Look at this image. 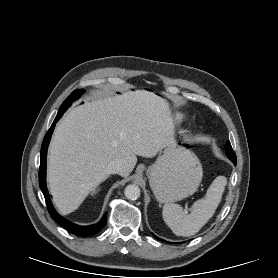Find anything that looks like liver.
<instances>
[{"mask_svg": "<svg viewBox=\"0 0 278 278\" xmlns=\"http://www.w3.org/2000/svg\"><path fill=\"white\" fill-rule=\"evenodd\" d=\"M174 123L167 101L146 90L86 102L58 123L51 143L47 180L63 215L82 204L108 178L107 166L123 163L127 177L137 156L154 157L172 138Z\"/></svg>", "mask_w": 278, "mask_h": 278, "instance_id": "1", "label": "liver"}]
</instances>
